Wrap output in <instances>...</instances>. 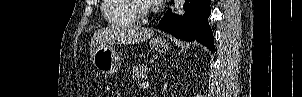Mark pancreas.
Wrapping results in <instances>:
<instances>
[{
    "mask_svg": "<svg viewBox=\"0 0 302 97\" xmlns=\"http://www.w3.org/2000/svg\"><path fill=\"white\" fill-rule=\"evenodd\" d=\"M146 66L145 65H137L132 69V78L138 81L143 80L146 77Z\"/></svg>",
    "mask_w": 302,
    "mask_h": 97,
    "instance_id": "cf45deb5",
    "label": "pancreas"
}]
</instances>
